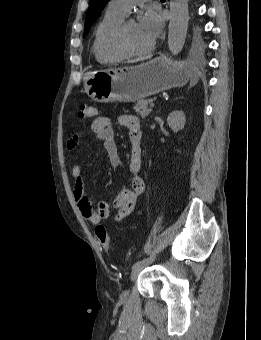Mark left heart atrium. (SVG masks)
Masks as SVG:
<instances>
[{"label":"left heart atrium","mask_w":261,"mask_h":340,"mask_svg":"<svg viewBox=\"0 0 261 340\" xmlns=\"http://www.w3.org/2000/svg\"><path fill=\"white\" fill-rule=\"evenodd\" d=\"M137 24L140 31L153 43L162 31L163 20L159 13L152 9H147Z\"/></svg>","instance_id":"left-heart-atrium-1"}]
</instances>
